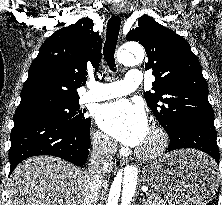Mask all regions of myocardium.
<instances>
[{
  "instance_id": "f54148a6",
  "label": "myocardium",
  "mask_w": 222,
  "mask_h": 205,
  "mask_svg": "<svg viewBox=\"0 0 222 205\" xmlns=\"http://www.w3.org/2000/svg\"><path fill=\"white\" fill-rule=\"evenodd\" d=\"M150 131L155 137L153 145L148 148H138L136 150V155L144 160H150L158 157L162 154L168 144V136L163 127L153 124L150 127Z\"/></svg>"
}]
</instances>
